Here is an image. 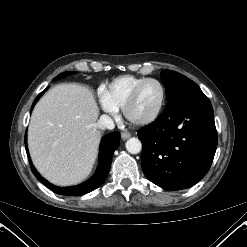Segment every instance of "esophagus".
Wrapping results in <instances>:
<instances>
[{"label": "esophagus", "instance_id": "1", "mask_svg": "<svg viewBox=\"0 0 247 247\" xmlns=\"http://www.w3.org/2000/svg\"><path fill=\"white\" fill-rule=\"evenodd\" d=\"M130 136H131V135H130L129 133H126V132H122V133H121V138H122L123 140L128 139Z\"/></svg>", "mask_w": 247, "mask_h": 247}]
</instances>
